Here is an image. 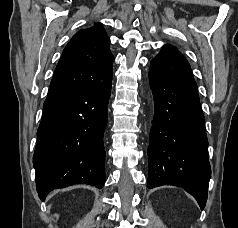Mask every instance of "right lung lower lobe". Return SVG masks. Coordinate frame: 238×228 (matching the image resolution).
Listing matches in <instances>:
<instances>
[{
    "instance_id": "1",
    "label": "right lung lower lobe",
    "mask_w": 238,
    "mask_h": 228,
    "mask_svg": "<svg viewBox=\"0 0 238 228\" xmlns=\"http://www.w3.org/2000/svg\"><path fill=\"white\" fill-rule=\"evenodd\" d=\"M112 76L111 69L99 83L46 98L33 156L40 199L74 184L103 187Z\"/></svg>"
}]
</instances>
